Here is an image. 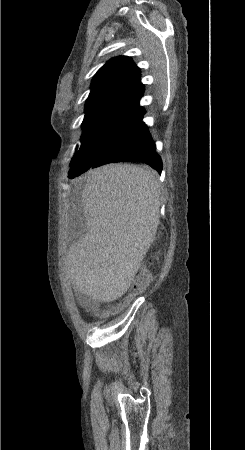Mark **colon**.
<instances>
[{
	"label": "colon",
	"instance_id": "1",
	"mask_svg": "<svg viewBox=\"0 0 245 450\" xmlns=\"http://www.w3.org/2000/svg\"><path fill=\"white\" fill-rule=\"evenodd\" d=\"M147 287V278L142 272H137L134 280L128 289V295L135 296L136 294L142 292ZM128 300L125 301L127 303ZM99 316L103 315V313L98 314Z\"/></svg>",
	"mask_w": 245,
	"mask_h": 450
}]
</instances>
